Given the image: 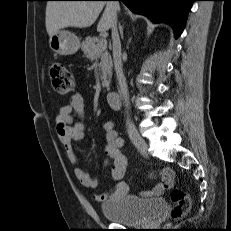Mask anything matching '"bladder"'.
Instances as JSON below:
<instances>
[{
	"label": "bladder",
	"mask_w": 231,
	"mask_h": 231,
	"mask_svg": "<svg viewBox=\"0 0 231 231\" xmlns=\"http://www.w3.org/2000/svg\"><path fill=\"white\" fill-rule=\"evenodd\" d=\"M166 208L162 198L143 200L136 196H125L102 204L101 212L110 221L124 225H148L159 217Z\"/></svg>",
	"instance_id": "obj_1"
}]
</instances>
